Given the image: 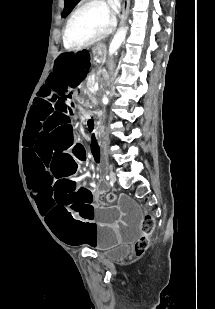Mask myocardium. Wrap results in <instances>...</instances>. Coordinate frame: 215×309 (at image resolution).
Instances as JSON below:
<instances>
[{
  "mask_svg": "<svg viewBox=\"0 0 215 309\" xmlns=\"http://www.w3.org/2000/svg\"><path fill=\"white\" fill-rule=\"evenodd\" d=\"M91 7H100L104 10L106 9V6L104 4H87V5L81 6L77 8L76 10H74L72 14L70 15V17L68 18V20L66 21L65 26L62 31L63 43L66 48H89L94 43H97L99 41V38H107L108 34H112L114 32L116 20L110 19L108 23H105L104 27H95L94 31H91L90 40L85 39L86 43L82 44L81 42H77V41L73 43V39L70 38V35H68L69 28L73 20L79 13ZM72 27L74 28L75 26L73 25Z\"/></svg>",
  "mask_w": 215,
  "mask_h": 309,
  "instance_id": "1",
  "label": "myocardium"
}]
</instances>
